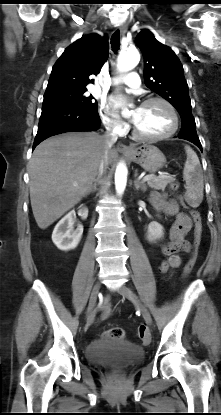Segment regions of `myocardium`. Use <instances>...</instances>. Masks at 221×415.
<instances>
[{"label": "myocardium", "instance_id": "obj_1", "mask_svg": "<svg viewBox=\"0 0 221 415\" xmlns=\"http://www.w3.org/2000/svg\"><path fill=\"white\" fill-rule=\"evenodd\" d=\"M153 102L162 103L168 108L172 116V121H173L171 129L168 132L161 134V135H146L140 132L139 129L136 127V125L133 124V128H132L133 134L135 137L142 139V140H146V141H161V140L168 139L172 137L178 131L179 122H180L178 112L170 101L162 97H149L141 103V106H144V105H147Z\"/></svg>", "mask_w": 221, "mask_h": 415}]
</instances>
